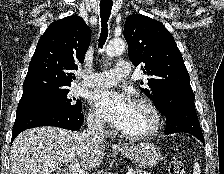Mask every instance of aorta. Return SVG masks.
<instances>
[{"instance_id": "obj_1", "label": "aorta", "mask_w": 224, "mask_h": 174, "mask_svg": "<svg viewBox=\"0 0 224 174\" xmlns=\"http://www.w3.org/2000/svg\"><path fill=\"white\" fill-rule=\"evenodd\" d=\"M126 48L125 41L123 39H112L106 46V54L110 57L121 55Z\"/></svg>"}]
</instances>
